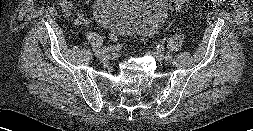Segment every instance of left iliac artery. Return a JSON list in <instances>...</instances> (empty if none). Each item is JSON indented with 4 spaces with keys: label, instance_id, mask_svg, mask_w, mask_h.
<instances>
[{
    "label": "left iliac artery",
    "instance_id": "left-iliac-artery-1",
    "mask_svg": "<svg viewBox=\"0 0 253 131\" xmlns=\"http://www.w3.org/2000/svg\"><path fill=\"white\" fill-rule=\"evenodd\" d=\"M156 50H157V51H164V50H165V47L162 46V45H157V46H156Z\"/></svg>",
    "mask_w": 253,
    "mask_h": 131
}]
</instances>
